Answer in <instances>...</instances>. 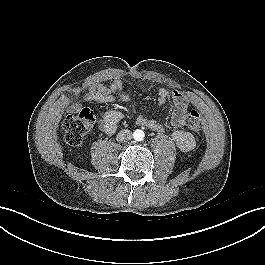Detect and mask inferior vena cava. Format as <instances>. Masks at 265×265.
Here are the masks:
<instances>
[{"label": "inferior vena cava", "mask_w": 265, "mask_h": 265, "mask_svg": "<svg viewBox=\"0 0 265 265\" xmlns=\"http://www.w3.org/2000/svg\"><path fill=\"white\" fill-rule=\"evenodd\" d=\"M132 139V133L128 129L121 130L116 137L118 142H126Z\"/></svg>", "instance_id": "1"}]
</instances>
